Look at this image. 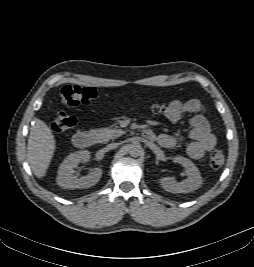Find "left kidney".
Segmentation results:
<instances>
[{"label":"left kidney","mask_w":254,"mask_h":267,"mask_svg":"<svg viewBox=\"0 0 254 267\" xmlns=\"http://www.w3.org/2000/svg\"><path fill=\"white\" fill-rule=\"evenodd\" d=\"M173 160L185 168L187 179L177 182L171 177H163L160 179L162 188L171 193H189L199 189L203 180L196 165L182 156H176Z\"/></svg>","instance_id":"left-kidney-1"}]
</instances>
